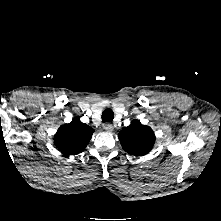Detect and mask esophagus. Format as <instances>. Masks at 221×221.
Segmentation results:
<instances>
[{"label": "esophagus", "instance_id": "34e87169", "mask_svg": "<svg viewBox=\"0 0 221 221\" xmlns=\"http://www.w3.org/2000/svg\"><path fill=\"white\" fill-rule=\"evenodd\" d=\"M103 128H104V130L107 131V132H111V131H113V129H114V127H113V125H112L111 123H105V124L103 125Z\"/></svg>", "mask_w": 221, "mask_h": 221}]
</instances>
